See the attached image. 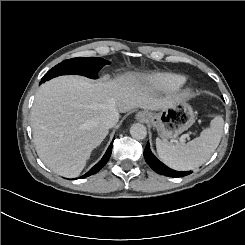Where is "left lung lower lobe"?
I'll use <instances>...</instances> for the list:
<instances>
[{
    "label": "left lung lower lobe",
    "mask_w": 245,
    "mask_h": 245,
    "mask_svg": "<svg viewBox=\"0 0 245 245\" xmlns=\"http://www.w3.org/2000/svg\"><path fill=\"white\" fill-rule=\"evenodd\" d=\"M144 158L146 162L149 164V166L158 174L165 175L168 177H183L186 175H189L191 171L186 172H180L175 171L166 165H164L162 162H160L151 152L149 142H147V145L144 150Z\"/></svg>",
    "instance_id": "obj_1"
}]
</instances>
